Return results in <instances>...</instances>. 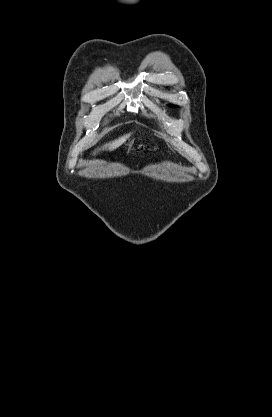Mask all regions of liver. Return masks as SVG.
<instances>
[{
  "label": "liver",
  "instance_id": "liver-1",
  "mask_svg": "<svg viewBox=\"0 0 272 417\" xmlns=\"http://www.w3.org/2000/svg\"><path fill=\"white\" fill-rule=\"evenodd\" d=\"M129 136H130V134L124 135V136L120 137L119 139L104 145L102 149L112 151V150L116 149L117 147H119L122 143H124Z\"/></svg>",
  "mask_w": 272,
  "mask_h": 417
}]
</instances>
